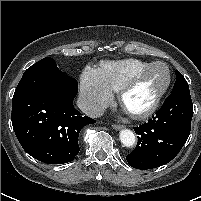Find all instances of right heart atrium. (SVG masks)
<instances>
[{
	"label": "right heart atrium",
	"mask_w": 201,
	"mask_h": 201,
	"mask_svg": "<svg viewBox=\"0 0 201 201\" xmlns=\"http://www.w3.org/2000/svg\"><path fill=\"white\" fill-rule=\"evenodd\" d=\"M112 90L104 83L97 69L87 67L80 81V103L89 116L99 115L112 101Z\"/></svg>",
	"instance_id": "obj_1"
}]
</instances>
